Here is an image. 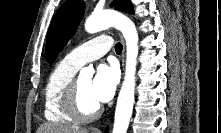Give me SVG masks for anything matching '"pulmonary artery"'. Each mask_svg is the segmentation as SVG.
<instances>
[{
	"label": "pulmonary artery",
	"instance_id": "e3ab8cb5",
	"mask_svg": "<svg viewBox=\"0 0 221 133\" xmlns=\"http://www.w3.org/2000/svg\"><path fill=\"white\" fill-rule=\"evenodd\" d=\"M112 46L107 35H100L69 52L64 60L80 68L85 63L96 60L105 55Z\"/></svg>",
	"mask_w": 221,
	"mask_h": 133
}]
</instances>
